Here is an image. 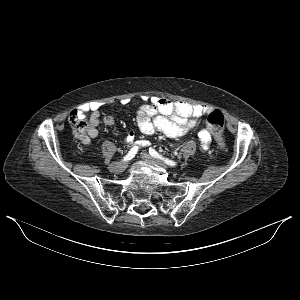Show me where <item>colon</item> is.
<instances>
[{"label":"colon","mask_w":300,"mask_h":300,"mask_svg":"<svg viewBox=\"0 0 300 300\" xmlns=\"http://www.w3.org/2000/svg\"><path fill=\"white\" fill-rule=\"evenodd\" d=\"M69 123L79 136H83L85 123L78 112H72L69 116ZM225 118L220 110L210 112L206 118L207 129L215 136L220 151L226 150V144L223 139V128Z\"/></svg>","instance_id":"5ec220e1"}]
</instances>
